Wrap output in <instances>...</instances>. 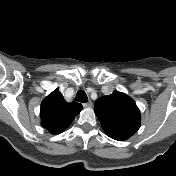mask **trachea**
<instances>
[{
    "label": "trachea",
    "mask_w": 176,
    "mask_h": 176,
    "mask_svg": "<svg viewBox=\"0 0 176 176\" xmlns=\"http://www.w3.org/2000/svg\"><path fill=\"white\" fill-rule=\"evenodd\" d=\"M76 99L78 102L86 103L88 101V97L83 90H79L76 95Z\"/></svg>",
    "instance_id": "3493384b"
}]
</instances>
